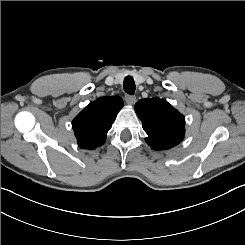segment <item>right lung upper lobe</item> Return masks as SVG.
Segmentation results:
<instances>
[{"label":"right lung upper lobe","mask_w":245,"mask_h":245,"mask_svg":"<svg viewBox=\"0 0 245 245\" xmlns=\"http://www.w3.org/2000/svg\"><path fill=\"white\" fill-rule=\"evenodd\" d=\"M123 104L119 96L101 97L90 102L72 121L78 145L85 149L103 145Z\"/></svg>","instance_id":"obj_1"}]
</instances>
